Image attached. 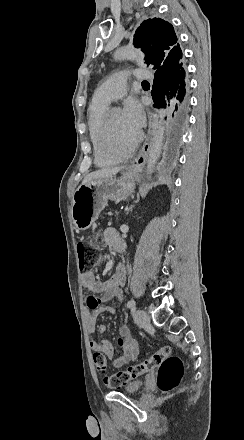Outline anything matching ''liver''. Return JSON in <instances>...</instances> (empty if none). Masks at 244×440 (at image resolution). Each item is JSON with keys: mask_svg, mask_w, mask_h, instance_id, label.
Masks as SVG:
<instances>
[{"mask_svg": "<svg viewBox=\"0 0 244 440\" xmlns=\"http://www.w3.org/2000/svg\"><path fill=\"white\" fill-rule=\"evenodd\" d=\"M122 168H102V170H97V172H91L88 176H85L82 186L89 184L91 180H103V178H114L118 172H121Z\"/></svg>", "mask_w": 244, "mask_h": 440, "instance_id": "liver-1", "label": "liver"}]
</instances>
